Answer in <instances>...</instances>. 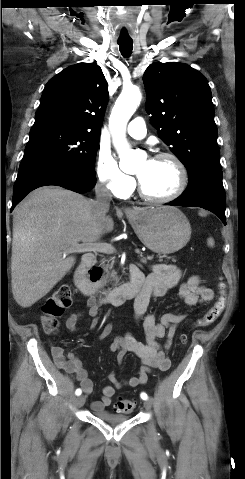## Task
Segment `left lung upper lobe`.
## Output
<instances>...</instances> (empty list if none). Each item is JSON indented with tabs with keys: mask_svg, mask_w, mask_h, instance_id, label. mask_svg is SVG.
<instances>
[{
	"mask_svg": "<svg viewBox=\"0 0 245 479\" xmlns=\"http://www.w3.org/2000/svg\"><path fill=\"white\" fill-rule=\"evenodd\" d=\"M146 111L164 143L184 164L189 178L219 165L217 127L206 78L183 63H153L143 76Z\"/></svg>",
	"mask_w": 245,
	"mask_h": 479,
	"instance_id": "5c2ea615",
	"label": "left lung upper lobe"
}]
</instances>
